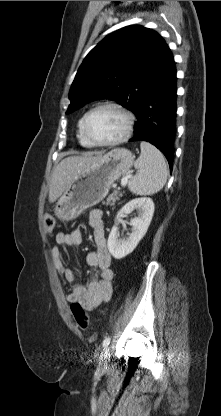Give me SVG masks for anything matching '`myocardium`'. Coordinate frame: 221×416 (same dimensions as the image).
Masks as SVG:
<instances>
[{"label": "myocardium", "instance_id": "1", "mask_svg": "<svg viewBox=\"0 0 221 416\" xmlns=\"http://www.w3.org/2000/svg\"><path fill=\"white\" fill-rule=\"evenodd\" d=\"M102 108H113L115 110H117L118 112H120L124 119H125V127L124 130L122 132V134L120 136H118L115 139L112 140H108V141H97L95 139H93L88 131H87V122L89 117L96 112L99 109ZM134 121H135V117L133 115V113L126 108L124 105L115 102V101H105L102 103L97 104L96 106L92 107L89 111H87L85 113V115L82 118L81 121V131L82 134L84 135V137L93 145V146H114L117 144H120L122 142H124L125 140H127L132 131H133V127H134Z\"/></svg>", "mask_w": 221, "mask_h": 416}]
</instances>
